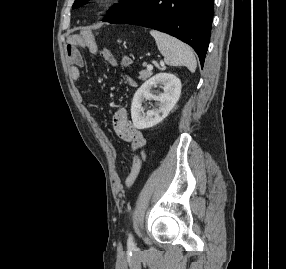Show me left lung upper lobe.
I'll return each instance as SVG.
<instances>
[{"label": "left lung upper lobe", "mask_w": 286, "mask_h": 269, "mask_svg": "<svg viewBox=\"0 0 286 269\" xmlns=\"http://www.w3.org/2000/svg\"><path fill=\"white\" fill-rule=\"evenodd\" d=\"M88 0H75L72 8H78ZM147 0H120L118 6H113L108 11V16H106L103 21L116 23L124 17L131 15L138 9H140Z\"/></svg>", "instance_id": "5c2ea615"}]
</instances>
